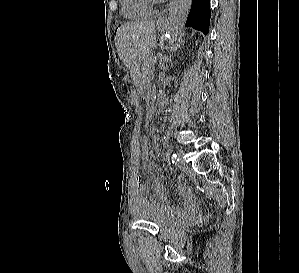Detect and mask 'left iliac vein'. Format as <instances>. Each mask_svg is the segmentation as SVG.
Returning a JSON list of instances; mask_svg holds the SVG:
<instances>
[{"label": "left iliac vein", "instance_id": "left-iliac-vein-1", "mask_svg": "<svg viewBox=\"0 0 299 273\" xmlns=\"http://www.w3.org/2000/svg\"><path fill=\"white\" fill-rule=\"evenodd\" d=\"M178 157H179V162H178L179 167L184 169L186 167V164H185L184 159H183V151H181V150L178 151Z\"/></svg>", "mask_w": 299, "mask_h": 273}]
</instances>
